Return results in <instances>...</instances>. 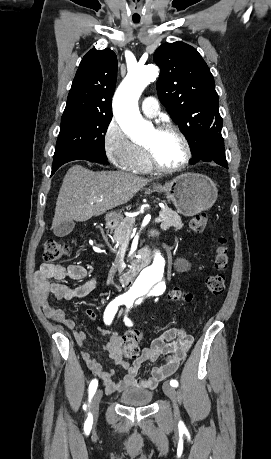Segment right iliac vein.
<instances>
[{
	"label": "right iliac vein",
	"mask_w": 271,
	"mask_h": 459,
	"mask_svg": "<svg viewBox=\"0 0 271 459\" xmlns=\"http://www.w3.org/2000/svg\"><path fill=\"white\" fill-rule=\"evenodd\" d=\"M103 392L101 390H98L92 400L91 404V415L96 418L98 416V411H99V403L102 398Z\"/></svg>",
	"instance_id": "1"
}]
</instances>
